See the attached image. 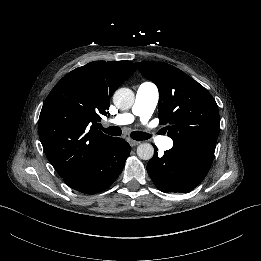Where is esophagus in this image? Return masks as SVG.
I'll return each instance as SVG.
<instances>
[{
    "label": "esophagus",
    "mask_w": 261,
    "mask_h": 261,
    "mask_svg": "<svg viewBox=\"0 0 261 261\" xmlns=\"http://www.w3.org/2000/svg\"><path fill=\"white\" fill-rule=\"evenodd\" d=\"M140 143H141L140 141H136V140H130L129 141V144L132 147H135V146L139 145Z\"/></svg>",
    "instance_id": "1"
}]
</instances>
